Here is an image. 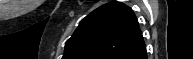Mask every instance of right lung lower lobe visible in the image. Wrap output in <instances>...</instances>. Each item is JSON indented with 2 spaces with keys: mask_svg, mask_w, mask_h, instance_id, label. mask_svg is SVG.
Wrapping results in <instances>:
<instances>
[{
  "mask_svg": "<svg viewBox=\"0 0 193 59\" xmlns=\"http://www.w3.org/2000/svg\"><path fill=\"white\" fill-rule=\"evenodd\" d=\"M128 59H147L146 47L128 57Z\"/></svg>",
  "mask_w": 193,
  "mask_h": 59,
  "instance_id": "right-lung-lower-lobe-1",
  "label": "right lung lower lobe"
}]
</instances>
